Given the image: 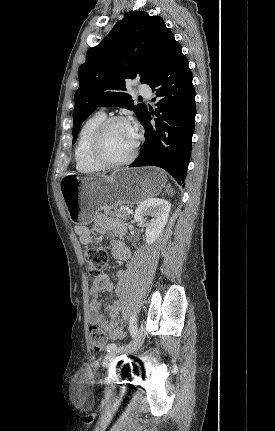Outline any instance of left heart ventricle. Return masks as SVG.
<instances>
[{
	"instance_id": "b2bd125f",
	"label": "left heart ventricle",
	"mask_w": 275,
	"mask_h": 431,
	"mask_svg": "<svg viewBox=\"0 0 275 431\" xmlns=\"http://www.w3.org/2000/svg\"><path fill=\"white\" fill-rule=\"evenodd\" d=\"M135 140L129 124H114L107 132L103 152L111 161H122L132 152Z\"/></svg>"
}]
</instances>
